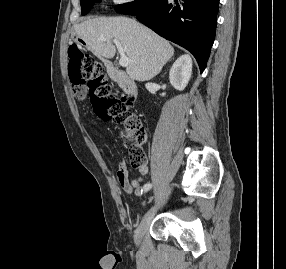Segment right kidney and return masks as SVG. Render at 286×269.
I'll return each mask as SVG.
<instances>
[{
	"label": "right kidney",
	"mask_w": 286,
	"mask_h": 269,
	"mask_svg": "<svg viewBox=\"0 0 286 269\" xmlns=\"http://www.w3.org/2000/svg\"><path fill=\"white\" fill-rule=\"evenodd\" d=\"M192 74V59L189 55L180 56L172 65L169 72L171 85L179 91L187 86Z\"/></svg>",
	"instance_id": "obj_1"
}]
</instances>
